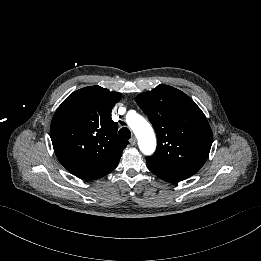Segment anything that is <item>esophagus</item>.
Instances as JSON below:
<instances>
[{
	"label": "esophagus",
	"instance_id": "34e87169",
	"mask_svg": "<svg viewBox=\"0 0 261 261\" xmlns=\"http://www.w3.org/2000/svg\"><path fill=\"white\" fill-rule=\"evenodd\" d=\"M130 143H131V145H136L137 144V139H136V137H132L131 138V140H130Z\"/></svg>",
	"mask_w": 261,
	"mask_h": 261
}]
</instances>
